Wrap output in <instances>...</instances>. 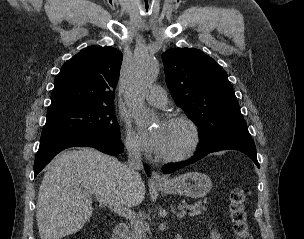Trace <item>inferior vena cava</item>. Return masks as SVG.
Segmentation results:
<instances>
[{
    "instance_id": "inferior-vena-cava-1",
    "label": "inferior vena cava",
    "mask_w": 304,
    "mask_h": 239,
    "mask_svg": "<svg viewBox=\"0 0 304 239\" xmlns=\"http://www.w3.org/2000/svg\"><path fill=\"white\" fill-rule=\"evenodd\" d=\"M125 146L128 153V163L125 166V174L130 180L139 179L141 176L138 170H140L143 165L141 149L131 141H126Z\"/></svg>"
}]
</instances>
